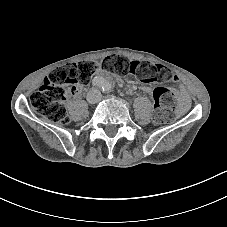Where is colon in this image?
Segmentation results:
<instances>
[{"label":"colon","mask_w":227,"mask_h":227,"mask_svg":"<svg viewBox=\"0 0 227 227\" xmlns=\"http://www.w3.org/2000/svg\"><path fill=\"white\" fill-rule=\"evenodd\" d=\"M98 69L109 71L116 76L134 74L146 84L174 80V74L163 65L129 61L117 55L108 56L98 64L89 61L66 64L52 71L43 85L30 96L32 109L52 122L67 123V94L74 93L80 85L86 84ZM153 98L154 123H170L173 120L176 91L170 87H157L153 91Z\"/></svg>","instance_id":"5ec220e1"}]
</instances>
